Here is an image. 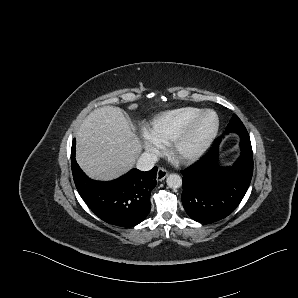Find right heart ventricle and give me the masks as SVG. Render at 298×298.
Instances as JSON below:
<instances>
[{"mask_svg": "<svg viewBox=\"0 0 298 298\" xmlns=\"http://www.w3.org/2000/svg\"><path fill=\"white\" fill-rule=\"evenodd\" d=\"M202 111L203 109L198 107H180L165 110L152 117L151 125L160 128L165 135V139H169L178 129Z\"/></svg>", "mask_w": 298, "mask_h": 298, "instance_id": "e07e8e85", "label": "right heart ventricle"}]
</instances>
